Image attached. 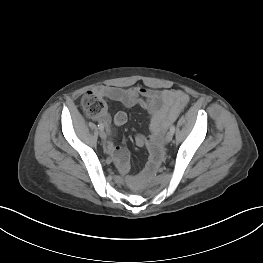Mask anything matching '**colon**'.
Masks as SVG:
<instances>
[{"instance_id": "obj_1", "label": "colon", "mask_w": 263, "mask_h": 263, "mask_svg": "<svg viewBox=\"0 0 263 263\" xmlns=\"http://www.w3.org/2000/svg\"><path fill=\"white\" fill-rule=\"evenodd\" d=\"M81 106L91 118H99L105 112V103L101 97L92 91L87 92L81 99Z\"/></svg>"}]
</instances>
